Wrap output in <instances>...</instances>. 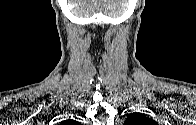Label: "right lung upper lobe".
Instances as JSON below:
<instances>
[{"label":"right lung upper lobe","mask_w":196,"mask_h":125,"mask_svg":"<svg viewBox=\"0 0 196 125\" xmlns=\"http://www.w3.org/2000/svg\"><path fill=\"white\" fill-rule=\"evenodd\" d=\"M72 121H66V123H71Z\"/></svg>","instance_id":"cb5924a9"}]
</instances>
